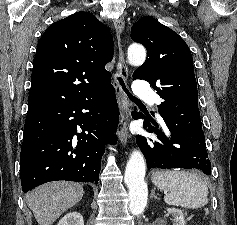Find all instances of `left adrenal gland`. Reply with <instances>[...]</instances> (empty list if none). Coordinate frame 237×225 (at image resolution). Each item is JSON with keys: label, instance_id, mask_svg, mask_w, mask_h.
<instances>
[{"label": "left adrenal gland", "instance_id": "a2214340", "mask_svg": "<svg viewBox=\"0 0 237 225\" xmlns=\"http://www.w3.org/2000/svg\"><path fill=\"white\" fill-rule=\"evenodd\" d=\"M151 198H155V199H158V200H159V197H157V196L155 195V191H154V190L151 192Z\"/></svg>", "mask_w": 237, "mask_h": 225}]
</instances>
